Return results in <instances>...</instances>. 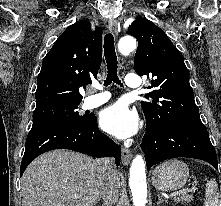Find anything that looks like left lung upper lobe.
Returning a JSON list of instances; mask_svg holds the SVG:
<instances>
[{
	"mask_svg": "<svg viewBox=\"0 0 221 206\" xmlns=\"http://www.w3.org/2000/svg\"><path fill=\"white\" fill-rule=\"evenodd\" d=\"M128 32L138 40L134 68L139 75L154 77L141 102L148 130L179 125H203L189 83V72L179 50L162 29L139 18Z\"/></svg>",
	"mask_w": 221,
	"mask_h": 206,
	"instance_id": "1",
	"label": "left lung upper lobe"
}]
</instances>
